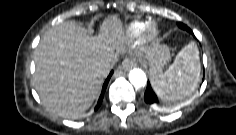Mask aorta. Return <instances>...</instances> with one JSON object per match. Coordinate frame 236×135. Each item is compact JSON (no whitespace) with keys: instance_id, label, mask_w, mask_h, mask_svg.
I'll return each mask as SVG.
<instances>
[{"instance_id":"762f6f07","label":"aorta","mask_w":236,"mask_h":135,"mask_svg":"<svg viewBox=\"0 0 236 135\" xmlns=\"http://www.w3.org/2000/svg\"><path fill=\"white\" fill-rule=\"evenodd\" d=\"M129 81L134 87L139 88L146 85L147 77L143 70L134 68L129 72Z\"/></svg>"}]
</instances>
